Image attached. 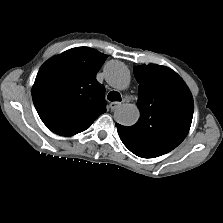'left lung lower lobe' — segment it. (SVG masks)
Masks as SVG:
<instances>
[{"label":"left lung lower lobe","instance_id":"left-lung-lower-lobe-1","mask_svg":"<svg viewBox=\"0 0 223 223\" xmlns=\"http://www.w3.org/2000/svg\"><path fill=\"white\" fill-rule=\"evenodd\" d=\"M135 155H137V156H139V157L147 158V157L144 156V155H140V154H135Z\"/></svg>","mask_w":223,"mask_h":223}]
</instances>
